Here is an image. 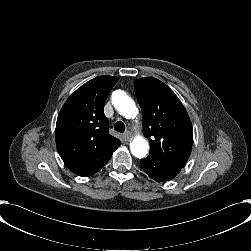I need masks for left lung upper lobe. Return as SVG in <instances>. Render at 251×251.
I'll return each mask as SVG.
<instances>
[{
	"mask_svg": "<svg viewBox=\"0 0 251 251\" xmlns=\"http://www.w3.org/2000/svg\"><path fill=\"white\" fill-rule=\"evenodd\" d=\"M142 109L143 133L150 142V157L183 168L190 156L193 128L175 93L153 77L134 82Z\"/></svg>",
	"mask_w": 251,
	"mask_h": 251,
	"instance_id": "1",
	"label": "left lung upper lobe"
}]
</instances>
